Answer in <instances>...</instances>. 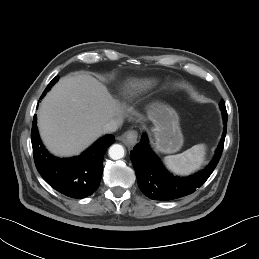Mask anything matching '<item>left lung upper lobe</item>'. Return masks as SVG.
<instances>
[{
    "instance_id": "5c2ea615",
    "label": "left lung upper lobe",
    "mask_w": 259,
    "mask_h": 259,
    "mask_svg": "<svg viewBox=\"0 0 259 259\" xmlns=\"http://www.w3.org/2000/svg\"><path fill=\"white\" fill-rule=\"evenodd\" d=\"M220 104H224V101H223V100H221Z\"/></svg>"
}]
</instances>
